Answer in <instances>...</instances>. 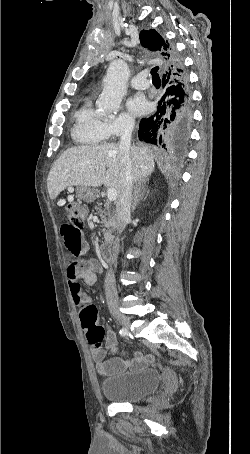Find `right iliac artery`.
Returning a JSON list of instances; mask_svg holds the SVG:
<instances>
[{
  "label": "right iliac artery",
  "instance_id": "82829eb1",
  "mask_svg": "<svg viewBox=\"0 0 250 454\" xmlns=\"http://www.w3.org/2000/svg\"><path fill=\"white\" fill-rule=\"evenodd\" d=\"M119 333H120L121 336H126V335H128V331H127L126 329H124V328H122V329L119 331Z\"/></svg>",
  "mask_w": 250,
  "mask_h": 454
}]
</instances>
